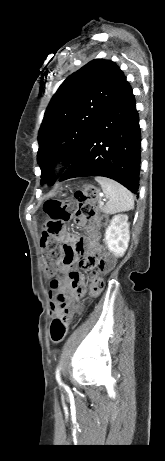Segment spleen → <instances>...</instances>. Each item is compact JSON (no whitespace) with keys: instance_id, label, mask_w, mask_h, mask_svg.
Returning <instances> with one entry per match:
<instances>
[{"instance_id":"3e777b00","label":"spleen","mask_w":165,"mask_h":461,"mask_svg":"<svg viewBox=\"0 0 165 461\" xmlns=\"http://www.w3.org/2000/svg\"><path fill=\"white\" fill-rule=\"evenodd\" d=\"M95 180L100 184L104 194L109 199L103 207L104 212L115 214L134 208L133 195L124 186L105 177H96Z\"/></svg>"}]
</instances>
